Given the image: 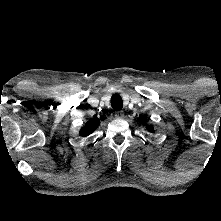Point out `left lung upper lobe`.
<instances>
[{"label":"left lung upper lobe","instance_id":"1","mask_svg":"<svg viewBox=\"0 0 221 221\" xmlns=\"http://www.w3.org/2000/svg\"><path fill=\"white\" fill-rule=\"evenodd\" d=\"M143 121H145V118H143ZM143 124H144V122H143ZM146 129H147L149 132H153V131H154V129H153L152 126H146Z\"/></svg>","mask_w":221,"mask_h":221}]
</instances>
